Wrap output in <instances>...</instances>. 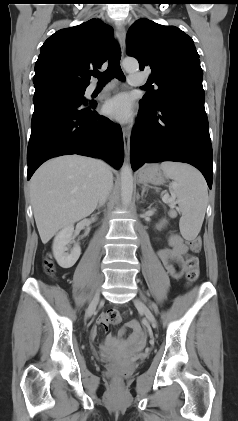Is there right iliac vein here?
Returning a JSON list of instances; mask_svg holds the SVG:
<instances>
[{
    "mask_svg": "<svg viewBox=\"0 0 238 421\" xmlns=\"http://www.w3.org/2000/svg\"><path fill=\"white\" fill-rule=\"evenodd\" d=\"M99 299H100V290H98L95 293V295H94V297H93V299H92V301H91V303H90V305H89V307L86 311V317H90L95 312L96 307H97L98 302H99Z\"/></svg>",
    "mask_w": 238,
    "mask_h": 421,
    "instance_id": "obj_1",
    "label": "right iliac vein"
}]
</instances>
